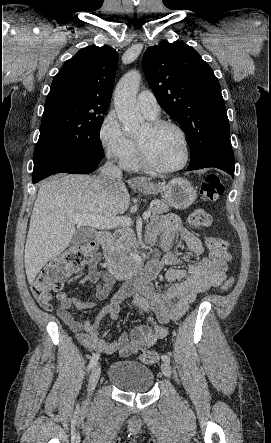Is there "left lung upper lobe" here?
<instances>
[{"label":"left lung upper lobe","instance_id":"left-lung-upper-lobe-1","mask_svg":"<svg viewBox=\"0 0 271 443\" xmlns=\"http://www.w3.org/2000/svg\"><path fill=\"white\" fill-rule=\"evenodd\" d=\"M152 91L187 136L190 164L204 157L234 160L221 87L210 66L187 44L160 42L142 58Z\"/></svg>","mask_w":271,"mask_h":443}]
</instances>
